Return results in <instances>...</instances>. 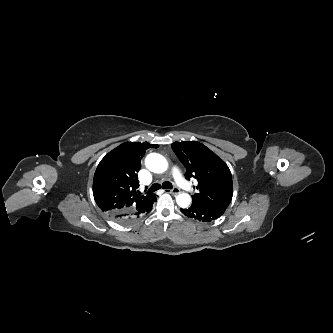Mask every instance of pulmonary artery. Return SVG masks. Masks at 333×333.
<instances>
[{
  "label": "pulmonary artery",
  "instance_id": "e3ab8cb5",
  "mask_svg": "<svg viewBox=\"0 0 333 333\" xmlns=\"http://www.w3.org/2000/svg\"><path fill=\"white\" fill-rule=\"evenodd\" d=\"M172 175L176 181V183L184 190L190 191L191 186L190 184L183 178L180 170L177 167L172 169Z\"/></svg>",
  "mask_w": 333,
  "mask_h": 333
}]
</instances>
